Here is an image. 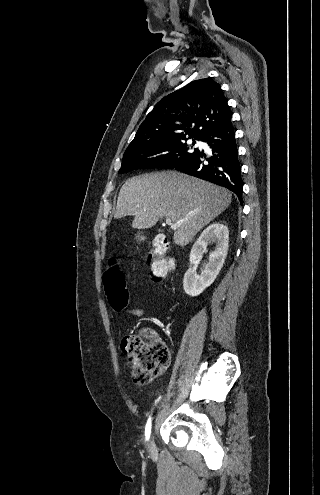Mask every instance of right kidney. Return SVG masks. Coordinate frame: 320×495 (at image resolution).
I'll use <instances>...</instances> for the list:
<instances>
[{
	"label": "right kidney",
	"instance_id": "right-kidney-1",
	"mask_svg": "<svg viewBox=\"0 0 320 495\" xmlns=\"http://www.w3.org/2000/svg\"><path fill=\"white\" fill-rule=\"evenodd\" d=\"M228 241L229 230L226 225L214 223L204 229L192 247L189 269L184 275L183 287L187 295L198 296L214 282L225 262ZM211 242L215 243V249L210 253L209 261L199 276L193 265L199 263Z\"/></svg>",
	"mask_w": 320,
	"mask_h": 495
}]
</instances>
